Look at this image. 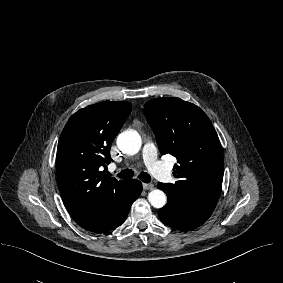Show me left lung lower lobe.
<instances>
[{"label": "left lung lower lobe", "instance_id": "1", "mask_svg": "<svg viewBox=\"0 0 283 283\" xmlns=\"http://www.w3.org/2000/svg\"><path fill=\"white\" fill-rule=\"evenodd\" d=\"M157 187L168 197L167 204L158 210L160 220L177 230L190 231L202 225L212 214V211L199 208L179 194H170L164 183Z\"/></svg>", "mask_w": 283, "mask_h": 283}]
</instances>
